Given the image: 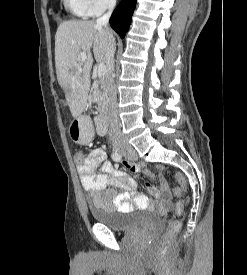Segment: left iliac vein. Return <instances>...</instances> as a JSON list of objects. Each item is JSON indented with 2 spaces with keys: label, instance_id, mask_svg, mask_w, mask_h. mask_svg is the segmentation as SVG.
<instances>
[{
  "label": "left iliac vein",
  "instance_id": "1",
  "mask_svg": "<svg viewBox=\"0 0 247 275\" xmlns=\"http://www.w3.org/2000/svg\"><path fill=\"white\" fill-rule=\"evenodd\" d=\"M122 154L129 160H136L137 159V154L134 151V149L129 146L126 145L125 148L122 150Z\"/></svg>",
  "mask_w": 247,
  "mask_h": 275
}]
</instances>
